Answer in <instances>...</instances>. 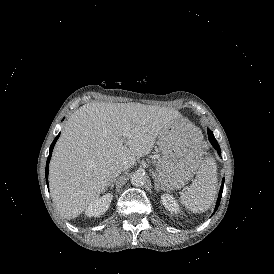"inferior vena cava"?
<instances>
[{"instance_id": "obj_1", "label": "inferior vena cava", "mask_w": 274, "mask_h": 274, "mask_svg": "<svg viewBox=\"0 0 274 274\" xmlns=\"http://www.w3.org/2000/svg\"><path fill=\"white\" fill-rule=\"evenodd\" d=\"M124 172V167H119L118 168V170H117V176L119 175V174H121V173H123Z\"/></svg>"}]
</instances>
